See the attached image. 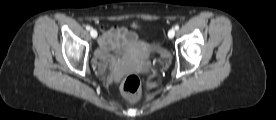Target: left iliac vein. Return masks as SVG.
<instances>
[{"instance_id": "1", "label": "left iliac vein", "mask_w": 276, "mask_h": 120, "mask_svg": "<svg viewBox=\"0 0 276 120\" xmlns=\"http://www.w3.org/2000/svg\"><path fill=\"white\" fill-rule=\"evenodd\" d=\"M174 36H175V30L170 29L169 32H168V37L172 39Z\"/></svg>"}]
</instances>
